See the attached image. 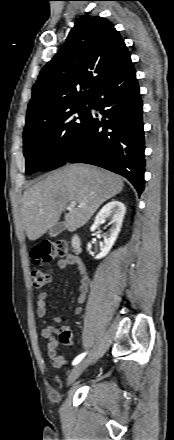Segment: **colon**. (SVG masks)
Segmentation results:
<instances>
[{
    "instance_id": "5ec220e1",
    "label": "colon",
    "mask_w": 174,
    "mask_h": 440,
    "mask_svg": "<svg viewBox=\"0 0 174 440\" xmlns=\"http://www.w3.org/2000/svg\"><path fill=\"white\" fill-rule=\"evenodd\" d=\"M69 254V247L64 242H45L32 249L30 256L35 263L49 262L56 257H65ZM32 280L35 288H43L50 282V274L41 270L32 271ZM64 336H69L65 332Z\"/></svg>"
}]
</instances>
